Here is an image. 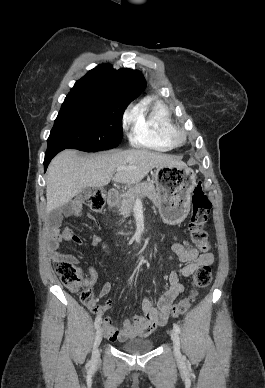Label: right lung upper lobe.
Instances as JSON below:
<instances>
[{"instance_id": "cb5924a9", "label": "right lung upper lobe", "mask_w": 265, "mask_h": 388, "mask_svg": "<svg viewBox=\"0 0 265 388\" xmlns=\"http://www.w3.org/2000/svg\"><path fill=\"white\" fill-rule=\"evenodd\" d=\"M146 88L143 75L136 70H115L99 65L78 80L69 94H106L134 100Z\"/></svg>"}]
</instances>
